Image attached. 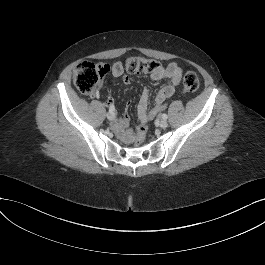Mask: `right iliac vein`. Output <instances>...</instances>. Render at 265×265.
<instances>
[{
  "label": "right iliac vein",
  "instance_id": "63e3f726",
  "mask_svg": "<svg viewBox=\"0 0 265 265\" xmlns=\"http://www.w3.org/2000/svg\"><path fill=\"white\" fill-rule=\"evenodd\" d=\"M107 118H108V120H110V121L114 120V118H115L114 113H113L112 111H109V112L107 113Z\"/></svg>",
  "mask_w": 265,
  "mask_h": 265
}]
</instances>
